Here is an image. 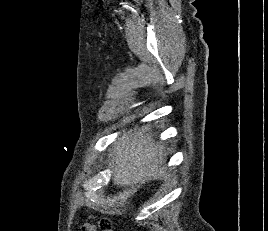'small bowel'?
Segmentation results:
<instances>
[{"label":"small bowel","instance_id":"small-bowel-1","mask_svg":"<svg viewBox=\"0 0 268 231\" xmlns=\"http://www.w3.org/2000/svg\"><path fill=\"white\" fill-rule=\"evenodd\" d=\"M91 218L93 217L88 216L87 220L82 223L81 231H97L96 226L89 222Z\"/></svg>","mask_w":268,"mask_h":231}]
</instances>
